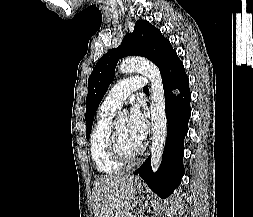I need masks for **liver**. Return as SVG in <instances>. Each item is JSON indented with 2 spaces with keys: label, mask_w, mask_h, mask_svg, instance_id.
Instances as JSON below:
<instances>
[{
  "label": "liver",
  "mask_w": 253,
  "mask_h": 217,
  "mask_svg": "<svg viewBox=\"0 0 253 217\" xmlns=\"http://www.w3.org/2000/svg\"><path fill=\"white\" fill-rule=\"evenodd\" d=\"M134 176L113 174L101 176L93 183L94 217H124L134 200Z\"/></svg>",
  "instance_id": "1"
}]
</instances>
